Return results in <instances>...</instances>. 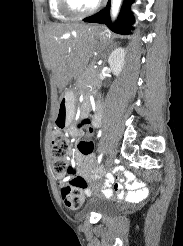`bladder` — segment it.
I'll list each match as a JSON object with an SVG mask.
<instances>
[{
  "instance_id": "obj_1",
  "label": "bladder",
  "mask_w": 183,
  "mask_h": 246,
  "mask_svg": "<svg viewBox=\"0 0 183 246\" xmlns=\"http://www.w3.org/2000/svg\"><path fill=\"white\" fill-rule=\"evenodd\" d=\"M118 206L112 200L107 199H95L87 205L88 210H94L102 216L113 214L117 210Z\"/></svg>"
}]
</instances>
